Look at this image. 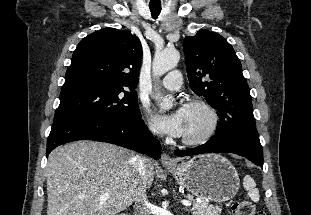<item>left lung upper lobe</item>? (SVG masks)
Returning <instances> with one entry per match:
<instances>
[{
	"label": "left lung upper lobe",
	"mask_w": 311,
	"mask_h": 215,
	"mask_svg": "<svg viewBox=\"0 0 311 215\" xmlns=\"http://www.w3.org/2000/svg\"><path fill=\"white\" fill-rule=\"evenodd\" d=\"M191 89L217 110L216 137L240 128L256 129L248 84L232 46L221 35L199 30L183 41Z\"/></svg>",
	"instance_id": "left-lung-upper-lobe-1"
}]
</instances>
